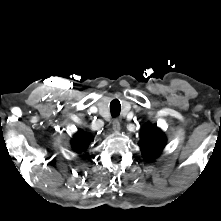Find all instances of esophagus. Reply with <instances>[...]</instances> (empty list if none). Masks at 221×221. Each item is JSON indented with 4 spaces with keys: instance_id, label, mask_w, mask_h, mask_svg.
<instances>
[{
    "instance_id": "esophagus-1",
    "label": "esophagus",
    "mask_w": 221,
    "mask_h": 221,
    "mask_svg": "<svg viewBox=\"0 0 221 221\" xmlns=\"http://www.w3.org/2000/svg\"><path fill=\"white\" fill-rule=\"evenodd\" d=\"M112 126H113V130L115 132H119L121 127H120V121L118 119H115L112 123Z\"/></svg>"
}]
</instances>
